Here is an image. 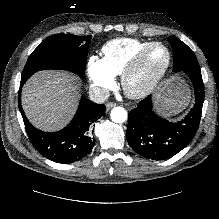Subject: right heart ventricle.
Instances as JSON below:
<instances>
[{
  "mask_svg": "<svg viewBox=\"0 0 219 219\" xmlns=\"http://www.w3.org/2000/svg\"><path fill=\"white\" fill-rule=\"evenodd\" d=\"M152 42L136 38H115L102 47V60L112 75H120L130 61Z\"/></svg>",
  "mask_w": 219,
  "mask_h": 219,
  "instance_id": "e07e8e85",
  "label": "right heart ventricle"
}]
</instances>
